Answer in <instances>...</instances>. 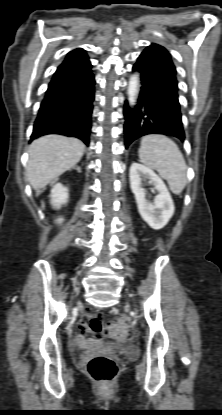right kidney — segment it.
<instances>
[{
  "label": "right kidney",
  "instance_id": "obj_1",
  "mask_svg": "<svg viewBox=\"0 0 222 415\" xmlns=\"http://www.w3.org/2000/svg\"><path fill=\"white\" fill-rule=\"evenodd\" d=\"M51 204L54 208L59 209L62 204H66L68 201V189L62 184L57 183L51 190ZM58 223L63 222L62 218L56 220Z\"/></svg>",
  "mask_w": 222,
  "mask_h": 415
}]
</instances>
